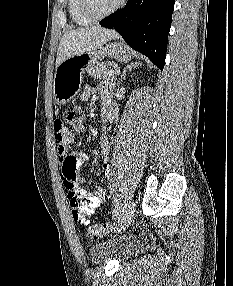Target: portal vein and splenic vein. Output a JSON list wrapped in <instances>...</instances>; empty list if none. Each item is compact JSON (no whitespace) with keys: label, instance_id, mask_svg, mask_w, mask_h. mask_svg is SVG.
I'll use <instances>...</instances> for the list:
<instances>
[{"label":"portal vein and splenic vein","instance_id":"18ae733b","mask_svg":"<svg viewBox=\"0 0 233 286\" xmlns=\"http://www.w3.org/2000/svg\"><path fill=\"white\" fill-rule=\"evenodd\" d=\"M118 71L117 70H110L109 73L110 75H115Z\"/></svg>","mask_w":233,"mask_h":286}]
</instances>
